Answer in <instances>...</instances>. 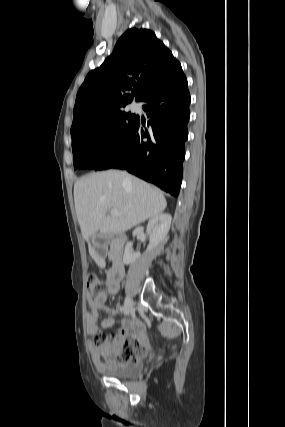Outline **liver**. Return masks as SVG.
Returning <instances> with one entry per match:
<instances>
[{
  "mask_svg": "<svg viewBox=\"0 0 285 427\" xmlns=\"http://www.w3.org/2000/svg\"><path fill=\"white\" fill-rule=\"evenodd\" d=\"M74 202L82 236L125 232L161 214L167 206L158 188L119 170L86 175L74 185ZM117 210V216H109Z\"/></svg>",
  "mask_w": 285,
  "mask_h": 427,
  "instance_id": "6515ba94",
  "label": "liver"
}]
</instances>
